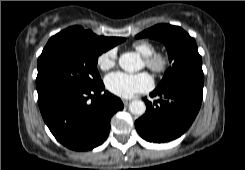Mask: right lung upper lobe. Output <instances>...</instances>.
Here are the masks:
<instances>
[{
	"label": "right lung upper lobe",
	"instance_id": "cb5924a9",
	"mask_svg": "<svg viewBox=\"0 0 245 170\" xmlns=\"http://www.w3.org/2000/svg\"><path fill=\"white\" fill-rule=\"evenodd\" d=\"M58 35L77 37L86 42L107 48L108 50L125 40L119 37H100L95 35L91 30H84L80 26L69 27L58 33Z\"/></svg>",
	"mask_w": 245,
	"mask_h": 170
}]
</instances>
